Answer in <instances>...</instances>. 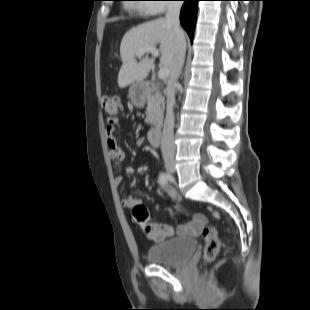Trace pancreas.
<instances>
[{
    "label": "pancreas",
    "mask_w": 310,
    "mask_h": 310,
    "mask_svg": "<svg viewBox=\"0 0 310 310\" xmlns=\"http://www.w3.org/2000/svg\"><path fill=\"white\" fill-rule=\"evenodd\" d=\"M147 103L146 121L153 126L160 124L163 120L165 108L164 97L158 91L152 94L149 93L147 96Z\"/></svg>",
    "instance_id": "cf45deb5"
}]
</instances>
